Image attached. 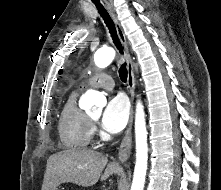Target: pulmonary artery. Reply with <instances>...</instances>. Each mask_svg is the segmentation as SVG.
Returning <instances> with one entry per match:
<instances>
[{"label":"pulmonary artery","mask_w":221,"mask_h":190,"mask_svg":"<svg viewBox=\"0 0 221 190\" xmlns=\"http://www.w3.org/2000/svg\"><path fill=\"white\" fill-rule=\"evenodd\" d=\"M85 85L90 87H102L104 89L111 90L114 87V82L110 75L101 72L91 76L85 82Z\"/></svg>","instance_id":"obj_1"}]
</instances>
